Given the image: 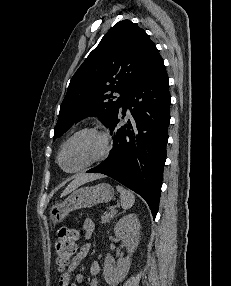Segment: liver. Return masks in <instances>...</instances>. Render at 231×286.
I'll list each match as a JSON object with an SVG mask.
<instances>
[{"label":"liver","instance_id":"obj_1","mask_svg":"<svg viewBox=\"0 0 231 286\" xmlns=\"http://www.w3.org/2000/svg\"><path fill=\"white\" fill-rule=\"evenodd\" d=\"M102 177L103 175H100V174H84V175L78 176L66 187V189L62 192L61 197L66 196L67 194L71 193L79 186L89 181L100 179Z\"/></svg>","mask_w":231,"mask_h":286}]
</instances>
